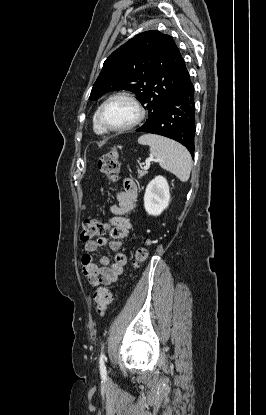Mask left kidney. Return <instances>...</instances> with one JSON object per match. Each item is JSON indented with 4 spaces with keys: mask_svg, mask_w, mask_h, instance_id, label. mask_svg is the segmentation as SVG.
Returning a JSON list of instances; mask_svg holds the SVG:
<instances>
[{
    "mask_svg": "<svg viewBox=\"0 0 266 415\" xmlns=\"http://www.w3.org/2000/svg\"><path fill=\"white\" fill-rule=\"evenodd\" d=\"M170 191L163 176L155 177L146 187L144 208L149 215H160L169 205Z\"/></svg>",
    "mask_w": 266,
    "mask_h": 415,
    "instance_id": "1",
    "label": "left kidney"
}]
</instances>
